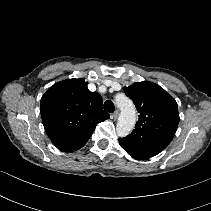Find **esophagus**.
Segmentation results:
<instances>
[{"instance_id":"34e87169","label":"esophagus","mask_w":211,"mask_h":211,"mask_svg":"<svg viewBox=\"0 0 211 211\" xmlns=\"http://www.w3.org/2000/svg\"><path fill=\"white\" fill-rule=\"evenodd\" d=\"M118 115H119V110H116L114 113L111 114V118L117 119Z\"/></svg>"}]
</instances>
